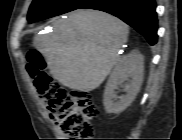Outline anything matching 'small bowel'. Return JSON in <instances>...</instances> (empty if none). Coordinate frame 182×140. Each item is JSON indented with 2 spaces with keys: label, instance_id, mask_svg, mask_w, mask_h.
Listing matches in <instances>:
<instances>
[{
  "label": "small bowel",
  "instance_id": "obj_1",
  "mask_svg": "<svg viewBox=\"0 0 182 140\" xmlns=\"http://www.w3.org/2000/svg\"><path fill=\"white\" fill-rule=\"evenodd\" d=\"M49 116L52 120H56V115L52 110H49Z\"/></svg>",
  "mask_w": 182,
  "mask_h": 140
}]
</instances>
